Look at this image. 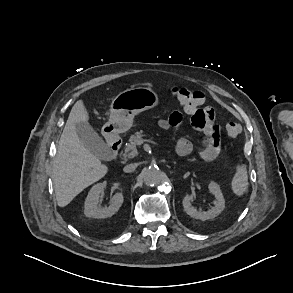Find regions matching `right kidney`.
I'll list each match as a JSON object with an SVG mask.
<instances>
[{
  "mask_svg": "<svg viewBox=\"0 0 293 293\" xmlns=\"http://www.w3.org/2000/svg\"><path fill=\"white\" fill-rule=\"evenodd\" d=\"M104 191V185L102 183H98L94 185L91 190L88 193V196L85 200V210L84 214L87 217L91 218H107L114 215L119 208L121 207L123 203V194L121 192L116 193L111 201L110 205L108 207H100L99 204V197L100 194Z\"/></svg>",
  "mask_w": 293,
  "mask_h": 293,
  "instance_id": "right-kidney-1",
  "label": "right kidney"
}]
</instances>
